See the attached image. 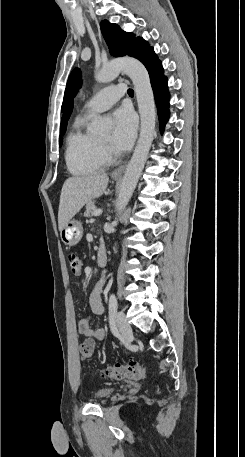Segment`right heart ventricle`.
Segmentation results:
<instances>
[{"instance_id":"e07e8e85","label":"right heart ventricle","mask_w":245,"mask_h":457,"mask_svg":"<svg viewBox=\"0 0 245 457\" xmlns=\"http://www.w3.org/2000/svg\"><path fill=\"white\" fill-rule=\"evenodd\" d=\"M96 137L89 133L85 120L74 121L67 136V162L75 172L100 170L107 164V159L96 151Z\"/></svg>"}]
</instances>
